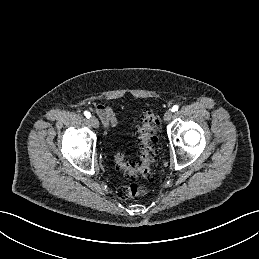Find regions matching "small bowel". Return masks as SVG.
<instances>
[{
    "label": "small bowel",
    "mask_w": 259,
    "mask_h": 259,
    "mask_svg": "<svg viewBox=\"0 0 259 259\" xmlns=\"http://www.w3.org/2000/svg\"><path fill=\"white\" fill-rule=\"evenodd\" d=\"M96 113L100 117L102 123L106 127H114L118 123V118L114 110L110 106L97 104L95 106Z\"/></svg>",
    "instance_id": "c3829d8e"
}]
</instances>
